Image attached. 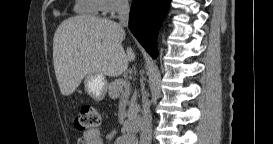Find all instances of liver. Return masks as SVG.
Instances as JSON below:
<instances>
[{"label": "liver", "instance_id": "liver-1", "mask_svg": "<svg viewBox=\"0 0 273 144\" xmlns=\"http://www.w3.org/2000/svg\"><path fill=\"white\" fill-rule=\"evenodd\" d=\"M123 27L106 18L89 15L70 17L57 28L53 38V63L61 94L69 96L88 74L120 76L135 59L126 53Z\"/></svg>", "mask_w": 273, "mask_h": 144}]
</instances>
